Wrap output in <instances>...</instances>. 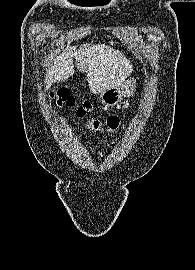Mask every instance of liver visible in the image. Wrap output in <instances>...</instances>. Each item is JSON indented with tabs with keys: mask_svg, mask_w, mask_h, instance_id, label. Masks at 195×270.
I'll use <instances>...</instances> for the list:
<instances>
[{
	"mask_svg": "<svg viewBox=\"0 0 195 270\" xmlns=\"http://www.w3.org/2000/svg\"><path fill=\"white\" fill-rule=\"evenodd\" d=\"M73 57L79 71L87 73V81L92 93L127 84L126 78L132 73L130 61L118 50L104 44L81 45L66 48L48 69L45 83L49 88L53 82L64 81L74 74Z\"/></svg>",
	"mask_w": 195,
	"mask_h": 270,
	"instance_id": "liver-1",
	"label": "liver"
}]
</instances>
